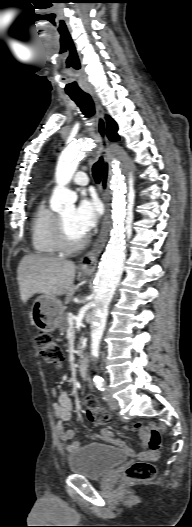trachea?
I'll use <instances>...</instances> for the list:
<instances>
[{"instance_id": "3493384b", "label": "trachea", "mask_w": 192, "mask_h": 527, "mask_svg": "<svg viewBox=\"0 0 192 527\" xmlns=\"http://www.w3.org/2000/svg\"><path fill=\"white\" fill-rule=\"evenodd\" d=\"M71 99L78 105L81 112L85 115V117L90 118L94 115V104L91 99V97L87 93H80L75 95H69ZM103 158L100 157V159L93 165L92 172L93 177L96 180L97 183L100 182L103 172Z\"/></svg>"}]
</instances>
